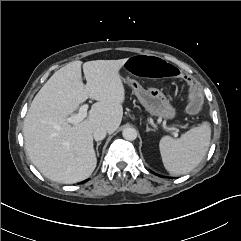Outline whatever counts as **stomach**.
<instances>
[{
	"instance_id": "1",
	"label": "stomach",
	"mask_w": 241,
	"mask_h": 241,
	"mask_svg": "<svg viewBox=\"0 0 241 241\" xmlns=\"http://www.w3.org/2000/svg\"><path fill=\"white\" fill-rule=\"evenodd\" d=\"M126 82L133 88L141 105L152 116L166 120L175 118L176 110L162 91L156 88L145 90L137 80L131 78H127Z\"/></svg>"
}]
</instances>
